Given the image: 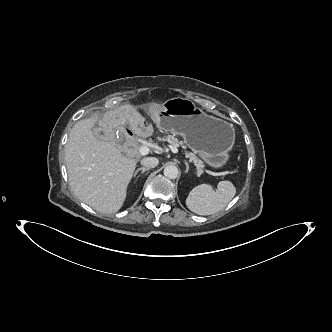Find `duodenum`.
Here are the masks:
<instances>
[{"label": "duodenum", "mask_w": 332, "mask_h": 332, "mask_svg": "<svg viewBox=\"0 0 332 332\" xmlns=\"http://www.w3.org/2000/svg\"><path fill=\"white\" fill-rule=\"evenodd\" d=\"M127 134H128L129 137H133V132L129 129H127Z\"/></svg>", "instance_id": "1"}]
</instances>
